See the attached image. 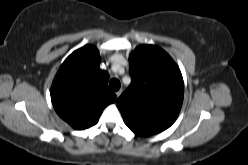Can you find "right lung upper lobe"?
Here are the masks:
<instances>
[{
  "label": "right lung upper lobe",
  "instance_id": "right-lung-upper-lobe-1",
  "mask_svg": "<svg viewBox=\"0 0 248 165\" xmlns=\"http://www.w3.org/2000/svg\"><path fill=\"white\" fill-rule=\"evenodd\" d=\"M99 63L98 50L86 45L68 56L53 81L54 109L74 129L95 125L103 109L117 99L108 89L109 75L99 68Z\"/></svg>",
  "mask_w": 248,
  "mask_h": 165
}]
</instances>
